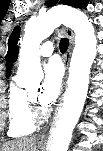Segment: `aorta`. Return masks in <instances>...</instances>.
I'll use <instances>...</instances> for the list:
<instances>
[{
	"label": "aorta",
	"instance_id": "762f6f07",
	"mask_svg": "<svg viewBox=\"0 0 103 151\" xmlns=\"http://www.w3.org/2000/svg\"><path fill=\"white\" fill-rule=\"evenodd\" d=\"M64 24L75 32V47L70 62L68 88L58 113L48 151H67L86 100L89 75L97 54V39L93 25L81 11L58 6L30 19L19 52L18 75L30 79L41 70L39 47L55 28Z\"/></svg>",
	"mask_w": 103,
	"mask_h": 151
}]
</instances>
